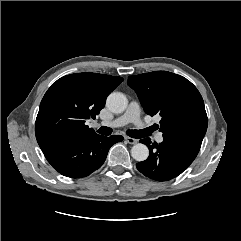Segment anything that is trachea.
<instances>
[{"mask_svg": "<svg viewBox=\"0 0 241 241\" xmlns=\"http://www.w3.org/2000/svg\"><path fill=\"white\" fill-rule=\"evenodd\" d=\"M152 129H143V130H127V134L132 138H143L148 136L151 133ZM97 132L102 135H110L112 133V129L106 126L100 127Z\"/></svg>", "mask_w": 241, "mask_h": 241, "instance_id": "obj_1", "label": "trachea"}]
</instances>
